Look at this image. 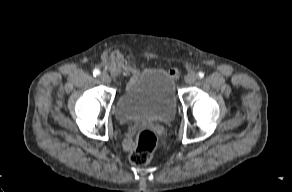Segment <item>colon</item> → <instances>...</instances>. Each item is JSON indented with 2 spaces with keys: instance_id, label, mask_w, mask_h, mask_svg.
Here are the masks:
<instances>
[{
  "instance_id": "colon-1",
  "label": "colon",
  "mask_w": 292,
  "mask_h": 192,
  "mask_svg": "<svg viewBox=\"0 0 292 192\" xmlns=\"http://www.w3.org/2000/svg\"><path fill=\"white\" fill-rule=\"evenodd\" d=\"M154 140L158 141V137L152 129L144 127L137 131L136 145L130 154L132 164L143 166L150 162L154 155V150L158 147L152 145Z\"/></svg>"
}]
</instances>
